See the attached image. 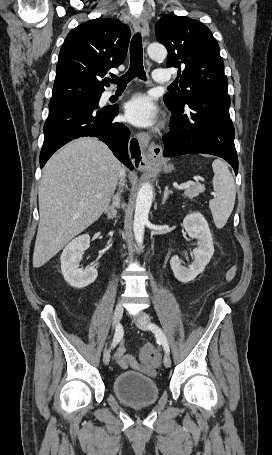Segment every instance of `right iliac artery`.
Masks as SVG:
<instances>
[{
  "label": "right iliac artery",
  "mask_w": 272,
  "mask_h": 455,
  "mask_svg": "<svg viewBox=\"0 0 272 455\" xmlns=\"http://www.w3.org/2000/svg\"><path fill=\"white\" fill-rule=\"evenodd\" d=\"M122 337H123V328H122L121 324H118L116 326L113 343H112L111 347L114 348L120 342Z\"/></svg>",
  "instance_id": "82829eb1"
}]
</instances>
